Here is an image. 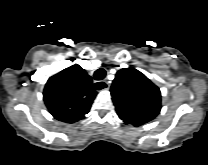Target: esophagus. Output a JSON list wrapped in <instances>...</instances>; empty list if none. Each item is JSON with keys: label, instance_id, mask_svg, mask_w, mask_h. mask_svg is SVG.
Instances as JSON below:
<instances>
[{"label": "esophagus", "instance_id": "esophagus-1", "mask_svg": "<svg viewBox=\"0 0 208 165\" xmlns=\"http://www.w3.org/2000/svg\"><path fill=\"white\" fill-rule=\"evenodd\" d=\"M96 84L102 85L105 90H108L110 87V85L107 81H98V82H95L94 85L96 86Z\"/></svg>", "mask_w": 208, "mask_h": 165}]
</instances>
